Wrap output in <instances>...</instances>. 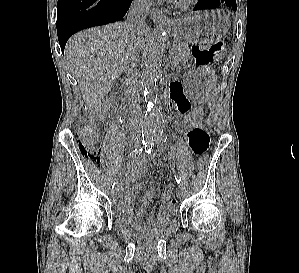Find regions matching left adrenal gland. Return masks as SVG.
<instances>
[{"instance_id":"obj_1","label":"left adrenal gland","mask_w":299,"mask_h":273,"mask_svg":"<svg viewBox=\"0 0 299 273\" xmlns=\"http://www.w3.org/2000/svg\"><path fill=\"white\" fill-rule=\"evenodd\" d=\"M170 58V57H169ZM171 59V58H170ZM170 62H171V60L169 61L168 60V62H167V65L170 67ZM174 67H172V69H173Z\"/></svg>"}]
</instances>
